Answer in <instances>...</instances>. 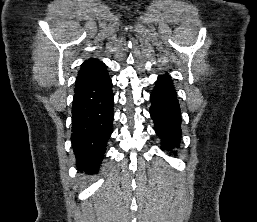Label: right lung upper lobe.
Wrapping results in <instances>:
<instances>
[{
  "instance_id": "cb5924a9",
  "label": "right lung upper lobe",
  "mask_w": 257,
  "mask_h": 222,
  "mask_svg": "<svg viewBox=\"0 0 257 222\" xmlns=\"http://www.w3.org/2000/svg\"><path fill=\"white\" fill-rule=\"evenodd\" d=\"M107 73L106 65L103 62L94 58L86 60L78 72L75 90L95 83Z\"/></svg>"
}]
</instances>
